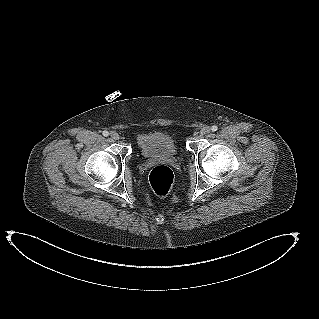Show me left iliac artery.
Segmentation results:
<instances>
[{
	"label": "left iliac artery",
	"mask_w": 319,
	"mask_h": 319,
	"mask_svg": "<svg viewBox=\"0 0 319 319\" xmlns=\"http://www.w3.org/2000/svg\"><path fill=\"white\" fill-rule=\"evenodd\" d=\"M217 129H218V127H217L216 125H213V126L211 127V130H212L213 132L217 131Z\"/></svg>",
	"instance_id": "1"
}]
</instances>
